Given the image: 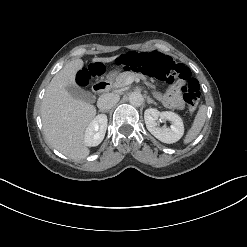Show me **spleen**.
<instances>
[{"label":"spleen","mask_w":247,"mask_h":247,"mask_svg":"<svg viewBox=\"0 0 247 247\" xmlns=\"http://www.w3.org/2000/svg\"><path fill=\"white\" fill-rule=\"evenodd\" d=\"M206 113H207V106L206 105L200 106L197 115L193 121V124L184 138V144H188L192 142L199 135L206 120Z\"/></svg>","instance_id":"obj_1"}]
</instances>
